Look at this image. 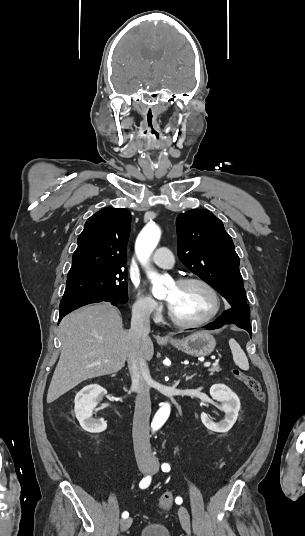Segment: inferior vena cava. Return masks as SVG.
Returning <instances> with one entry per match:
<instances>
[{"label": "inferior vena cava", "mask_w": 305, "mask_h": 536, "mask_svg": "<svg viewBox=\"0 0 305 536\" xmlns=\"http://www.w3.org/2000/svg\"><path fill=\"white\" fill-rule=\"evenodd\" d=\"M150 308L136 306L132 310L130 336L134 340L135 348L128 356V368L132 380V390L137 392L135 412L133 418V446L137 460H152L149 442V418L151 414V400L148 382L151 380L148 364L141 356H137L139 344L148 338L150 332Z\"/></svg>", "instance_id": "602c4592"}]
</instances>
